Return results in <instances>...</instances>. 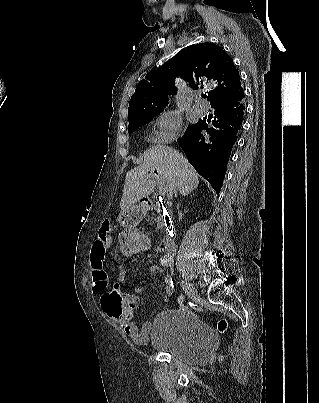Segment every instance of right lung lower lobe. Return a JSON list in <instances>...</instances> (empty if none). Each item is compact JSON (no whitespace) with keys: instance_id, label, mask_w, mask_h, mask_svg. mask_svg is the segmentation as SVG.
<instances>
[{"instance_id":"98d812e1","label":"right lung lower lobe","mask_w":319,"mask_h":403,"mask_svg":"<svg viewBox=\"0 0 319 403\" xmlns=\"http://www.w3.org/2000/svg\"><path fill=\"white\" fill-rule=\"evenodd\" d=\"M244 93L212 105L214 120H199L187 128L178 144L196 171L209 181L219 194L229 156L243 121ZM202 131H205L202 133Z\"/></svg>"}]
</instances>
